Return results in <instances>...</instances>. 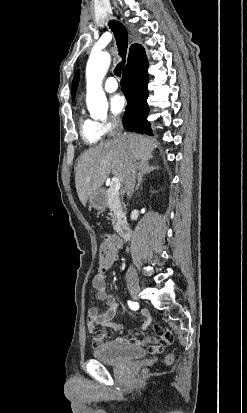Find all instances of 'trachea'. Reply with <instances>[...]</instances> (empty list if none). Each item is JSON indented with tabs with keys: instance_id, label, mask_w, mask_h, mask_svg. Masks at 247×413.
I'll return each instance as SVG.
<instances>
[{
	"instance_id": "1",
	"label": "trachea",
	"mask_w": 247,
	"mask_h": 413,
	"mask_svg": "<svg viewBox=\"0 0 247 413\" xmlns=\"http://www.w3.org/2000/svg\"><path fill=\"white\" fill-rule=\"evenodd\" d=\"M109 26L111 30L113 31L114 36L116 38L119 54L120 56H122V61L118 63V65L115 67V70H114V74L117 77H120L121 70L123 69L125 65V56H126L127 45H128V33L124 25L120 22L111 21L109 22Z\"/></svg>"
}]
</instances>
